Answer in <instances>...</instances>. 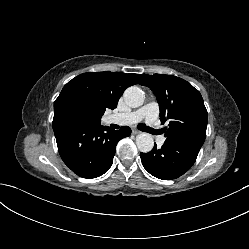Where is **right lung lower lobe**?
Here are the masks:
<instances>
[{
    "label": "right lung lower lobe",
    "mask_w": 249,
    "mask_h": 249,
    "mask_svg": "<svg viewBox=\"0 0 249 249\" xmlns=\"http://www.w3.org/2000/svg\"><path fill=\"white\" fill-rule=\"evenodd\" d=\"M52 125L62 160L83 178L103 175L113 163L118 141L131 134L127 126L115 131L102 125L86 126L66 121H55Z\"/></svg>",
    "instance_id": "right-lung-lower-lobe-1"
}]
</instances>
